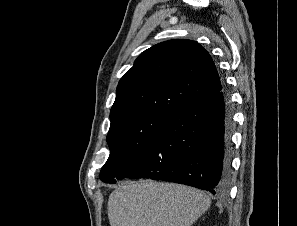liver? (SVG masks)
<instances>
[{
  "instance_id": "6515ba94",
  "label": "liver",
  "mask_w": 297,
  "mask_h": 226,
  "mask_svg": "<svg viewBox=\"0 0 297 226\" xmlns=\"http://www.w3.org/2000/svg\"><path fill=\"white\" fill-rule=\"evenodd\" d=\"M211 200L195 188L140 180L126 182L109 196L110 226H191Z\"/></svg>"
}]
</instances>
